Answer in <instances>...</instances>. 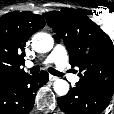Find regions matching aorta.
I'll return each mask as SVG.
<instances>
[{
    "label": "aorta",
    "mask_w": 114,
    "mask_h": 114,
    "mask_svg": "<svg viewBox=\"0 0 114 114\" xmlns=\"http://www.w3.org/2000/svg\"><path fill=\"white\" fill-rule=\"evenodd\" d=\"M54 41L50 34L38 33L32 38V47L36 52L46 53L53 48ZM54 91L59 96H64L69 91V84L63 79H57L53 85Z\"/></svg>",
    "instance_id": "1"
}]
</instances>
